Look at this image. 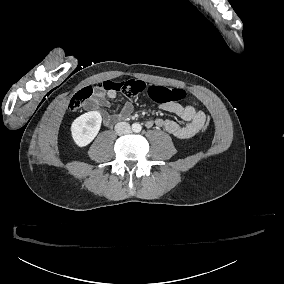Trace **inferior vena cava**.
<instances>
[{
  "label": "inferior vena cava",
  "mask_w": 284,
  "mask_h": 284,
  "mask_svg": "<svg viewBox=\"0 0 284 284\" xmlns=\"http://www.w3.org/2000/svg\"><path fill=\"white\" fill-rule=\"evenodd\" d=\"M115 131L119 135L129 134L131 132V127L128 122H119L115 125Z\"/></svg>",
  "instance_id": "1"
}]
</instances>
